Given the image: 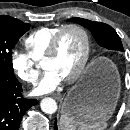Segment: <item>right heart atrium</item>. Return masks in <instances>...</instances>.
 <instances>
[{"mask_svg":"<svg viewBox=\"0 0 130 130\" xmlns=\"http://www.w3.org/2000/svg\"><path fill=\"white\" fill-rule=\"evenodd\" d=\"M10 63L15 74L24 82L33 84L37 81L39 71L36 61L28 53L14 49L10 56Z\"/></svg>","mask_w":130,"mask_h":130,"instance_id":"obj_1","label":"right heart atrium"}]
</instances>
